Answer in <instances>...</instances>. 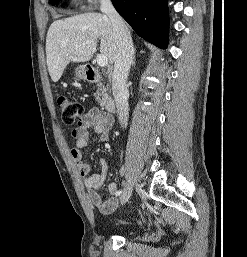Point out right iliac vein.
<instances>
[{
    "label": "right iliac vein",
    "mask_w": 247,
    "mask_h": 257,
    "mask_svg": "<svg viewBox=\"0 0 247 257\" xmlns=\"http://www.w3.org/2000/svg\"><path fill=\"white\" fill-rule=\"evenodd\" d=\"M134 186H135V183L133 181H130L129 184L124 189L120 198L122 205L125 204L130 199Z\"/></svg>",
    "instance_id": "right-iliac-vein-1"
}]
</instances>
